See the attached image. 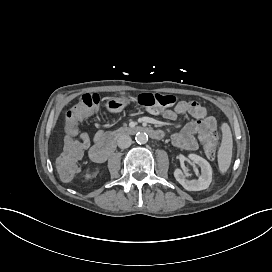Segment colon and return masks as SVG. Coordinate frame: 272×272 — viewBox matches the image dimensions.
Returning a JSON list of instances; mask_svg holds the SVG:
<instances>
[{
	"label": "colon",
	"instance_id": "colon-1",
	"mask_svg": "<svg viewBox=\"0 0 272 272\" xmlns=\"http://www.w3.org/2000/svg\"><path fill=\"white\" fill-rule=\"evenodd\" d=\"M101 102V97L98 94H85L81 97L79 103L71 108L66 113V135L62 141L61 146L63 151L60 159L57 161V168L60 178L64 181L71 180L72 172L79 167V158L82 154V149L78 144V139L75 136L77 128L80 125L81 119L91 118L93 116V109L98 108ZM176 97L174 95H163L160 93L141 94L137 98V103L151 112H159L174 105ZM206 131L205 147L209 149L208 155L210 158H215V147L218 143L216 134V122L214 120H207L203 123Z\"/></svg>",
	"mask_w": 272,
	"mask_h": 272
}]
</instances>
